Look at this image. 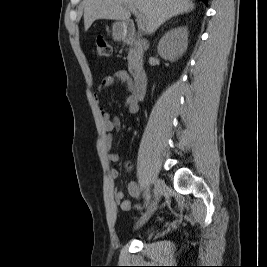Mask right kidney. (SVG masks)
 <instances>
[{"label": "right kidney", "instance_id": "1", "mask_svg": "<svg viewBox=\"0 0 267 267\" xmlns=\"http://www.w3.org/2000/svg\"><path fill=\"white\" fill-rule=\"evenodd\" d=\"M187 46L188 28L180 26L164 34L158 43L157 51L163 59L174 62L184 54Z\"/></svg>", "mask_w": 267, "mask_h": 267}]
</instances>
